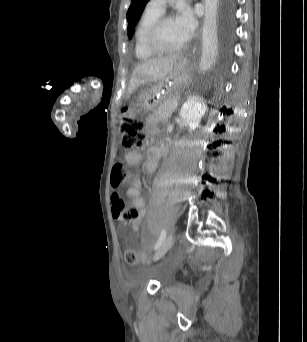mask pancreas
<instances>
[{
	"label": "pancreas",
	"mask_w": 307,
	"mask_h": 342,
	"mask_svg": "<svg viewBox=\"0 0 307 342\" xmlns=\"http://www.w3.org/2000/svg\"><path fill=\"white\" fill-rule=\"evenodd\" d=\"M178 100V95L177 94H170L169 97L167 98V103L168 104H175L176 101ZM171 109L167 106H160L159 110L156 112V116H159V118H166L171 116Z\"/></svg>",
	"instance_id": "cf45deb5"
}]
</instances>
